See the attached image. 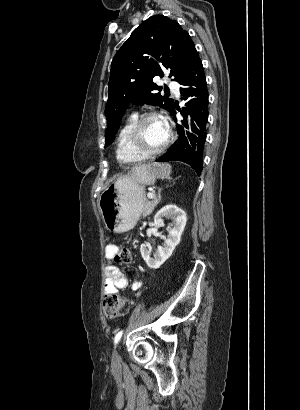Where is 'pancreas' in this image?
Listing matches in <instances>:
<instances>
[{"label":"pancreas","mask_w":300,"mask_h":410,"mask_svg":"<svg viewBox=\"0 0 300 410\" xmlns=\"http://www.w3.org/2000/svg\"><path fill=\"white\" fill-rule=\"evenodd\" d=\"M157 204V201L154 199L153 201L145 200L144 207H143V217H146L152 213L154 210L155 206Z\"/></svg>","instance_id":"pancreas-1"}]
</instances>
